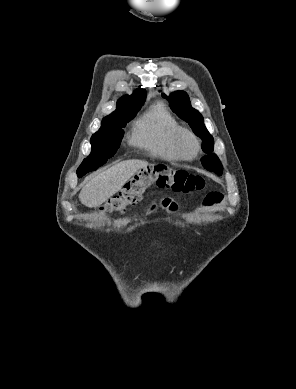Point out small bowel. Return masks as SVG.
I'll list each match as a JSON object with an SVG mask.
<instances>
[{
    "label": "small bowel",
    "instance_id": "obj_1",
    "mask_svg": "<svg viewBox=\"0 0 296 389\" xmlns=\"http://www.w3.org/2000/svg\"><path fill=\"white\" fill-rule=\"evenodd\" d=\"M222 201V196L218 193H210L208 194L204 201H203V205L205 207H211L215 204H218ZM161 206L165 209H167L169 212H175L176 209H177V205L176 203L170 199V198H165L161 201ZM156 208V204H152L150 206V211H153L154 209Z\"/></svg>",
    "mask_w": 296,
    "mask_h": 389
}]
</instances>
